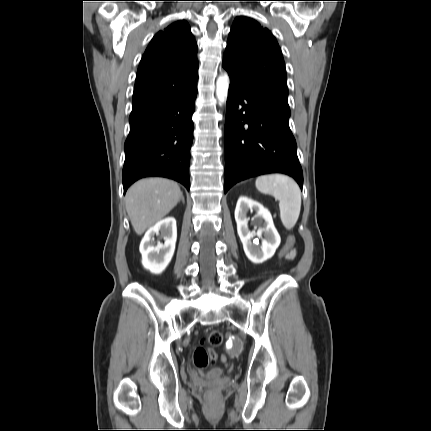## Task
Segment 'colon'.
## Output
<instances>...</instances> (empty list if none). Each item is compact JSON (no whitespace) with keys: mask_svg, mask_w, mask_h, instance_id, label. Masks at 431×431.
<instances>
[{"mask_svg":"<svg viewBox=\"0 0 431 431\" xmlns=\"http://www.w3.org/2000/svg\"><path fill=\"white\" fill-rule=\"evenodd\" d=\"M295 244V237L289 236L285 248L277 251L276 260L282 261L283 256L287 253L289 248H293ZM206 342L209 346L201 344L194 352V364L197 368H205L209 362L210 366H215L217 362V354L213 347H218L223 342V335L219 330H211L206 336ZM222 363H226V354L221 356ZM213 395V393H211Z\"/></svg>","mask_w":431,"mask_h":431,"instance_id":"1","label":"colon"}]
</instances>
